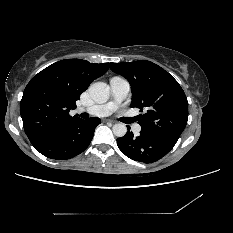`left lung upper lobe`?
Instances as JSON below:
<instances>
[{
  "mask_svg": "<svg viewBox=\"0 0 233 233\" xmlns=\"http://www.w3.org/2000/svg\"><path fill=\"white\" fill-rule=\"evenodd\" d=\"M109 66L130 82L131 106L147 110L138 122L142 131L178 140L188 120V101L179 83L163 68L147 60L110 63Z\"/></svg>",
  "mask_w": 233,
  "mask_h": 233,
  "instance_id": "obj_1",
  "label": "left lung upper lobe"
}]
</instances>
